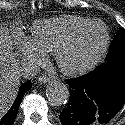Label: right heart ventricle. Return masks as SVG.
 <instances>
[{"label": "right heart ventricle", "mask_w": 125, "mask_h": 125, "mask_svg": "<svg viewBox=\"0 0 125 125\" xmlns=\"http://www.w3.org/2000/svg\"><path fill=\"white\" fill-rule=\"evenodd\" d=\"M88 21L72 15L36 21L31 27L30 40L41 53H54L63 40Z\"/></svg>", "instance_id": "1"}]
</instances>
